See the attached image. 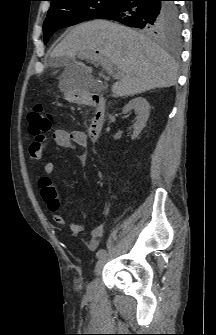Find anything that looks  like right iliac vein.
<instances>
[{
  "label": "right iliac vein",
  "instance_id": "1",
  "mask_svg": "<svg viewBox=\"0 0 216 335\" xmlns=\"http://www.w3.org/2000/svg\"><path fill=\"white\" fill-rule=\"evenodd\" d=\"M110 257H111V253L107 252L102 257L99 258L94 268V273L96 276L100 273L101 269L106 264V262L110 259ZM96 287H97V279L94 278L88 285L87 295L92 296L95 293Z\"/></svg>",
  "mask_w": 216,
  "mask_h": 335
}]
</instances>
